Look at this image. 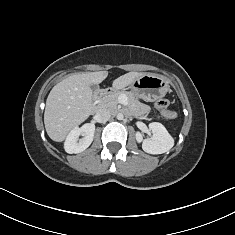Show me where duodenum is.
<instances>
[{"mask_svg": "<svg viewBox=\"0 0 235 235\" xmlns=\"http://www.w3.org/2000/svg\"><path fill=\"white\" fill-rule=\"evenodd\" d=\"M112 92V89H109V88H102V89H99L96 94H95V99H99L101 98L102 96L104 95H107L109 93Z\"/></svg>", "mask_w": 235, "mask_h": 235, "instance_id": "1", "label": "duodenum"}]
</instances>
